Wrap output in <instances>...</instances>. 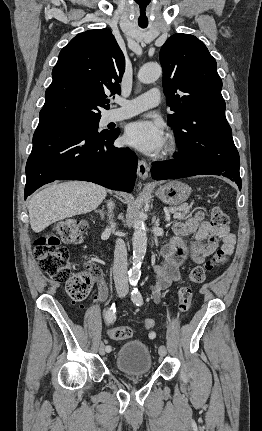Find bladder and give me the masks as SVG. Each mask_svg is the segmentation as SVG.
<instances>
[{"label": "bladder", "mask_w": 262, "mask_h": 431, "mask_svg": "<svg viewBox=\"0 0 262 431\" xmlns=\"http://www.w3.org/2000/svg\"><path fill=\"white\" fill-rule=\"evenodd\" d=\"M116 367L127 375L148 374L152 370V356L143 339H131L123 343L117 351Z\"/></svg>", "instance_id": "bladder-1"}]
</instances>
